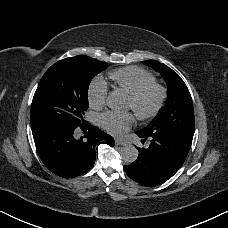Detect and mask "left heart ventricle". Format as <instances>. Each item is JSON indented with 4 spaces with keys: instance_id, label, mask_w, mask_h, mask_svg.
I'll list each match as a JSON object with an SVG mask.
<instances>
[{
    "instance_id": "obj_1",
    "label": "left heart ventricle",
    "mask_w": 228,
    "mask_h": 228,
    "mask_svg": "<svg viewBox=\"0 0 228 228\" xmlns=\"http://www.w3.org/2000/svg\"><path fill=\"white\" fill-rule=\"evenodd\" d=\"M155 101H156V95L155 94H151L150 96H148L145 99V101L143 102V104L138 108L139 112L147 113L148 111H150L151 108L153 107ZM128 110L133 112V107H132V104H131L129 99L127 100V104H126L125 108L120 110V111L126 112Z\"/></svg>"
}]
</instances>
